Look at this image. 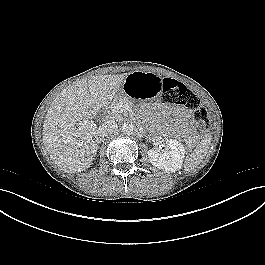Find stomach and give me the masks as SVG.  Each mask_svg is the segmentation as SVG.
<instances>
[{
	"mask_svg": "<svg viewBox=\"0 0 265 265\" xmlns=\"http://www.w3.org/2000/svg\"><path fill=\"white\" fill-rule=\"evenodd\" d=\"M126 79L121 92L128 96L132 105L140 109H147L156 104L162 87L159 76L154 73L136 71Z\"/></svg>",
	"mask_w": 265,
	"mask_h": 265,
	"instance_id": "obj_1",
	"label": "stomach"
}]
</instances>
